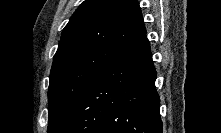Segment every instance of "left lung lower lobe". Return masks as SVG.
Wrapping results in <instances>:
<instances>
[{
	"label": "left lung lower lobe",
	"mask_w": 221,
	"mask_h": 133,
	"mask_svg": "<svg viewBox=\"0 0 221 133\" xmlns=\"http://www.w3.org/2000/svg\"><path fill=\"white\" fill-rule=\"evenodd\" d=\"M155 79L145 37L92 81L55 133H162Z\"/></svg>",
	"instance_id": "1"
}]
</instances>
